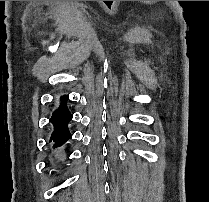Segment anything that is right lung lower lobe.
Wrapping results in <instances>:
<instances>
[{
  "mask_svg": "<svg viewBox=\"0 0 209 202\" xmlns=\"http://www.w3.org/2000/svg\"><path fill=\"white\" fill-rule=\"evenodd\" d=\"M68 96L64 95L60 98L61 105L52 114L50 122L54 126V131L51 134L50 142L53 141L54 148L62 146L68 139L71 138V134L68 129V123L72 119V115L66 106Z\"/></svg>",
  "mask_w": 209,
  "mask_h": 202,
  "instance_id": "98d812e1",
  "label": "right lung lower lobe"
}]
</instances>
